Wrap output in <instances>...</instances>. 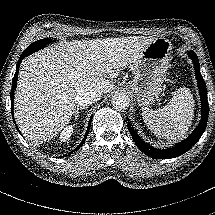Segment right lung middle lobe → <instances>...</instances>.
<instances>
[{
  "label": "right lung middle lobe",
  "mask_w": 215,
  "mask_h": 215,
  "mask_svg": "<svg viewBox=\"0 0 215 215\" xmlns=\"http://www.w3.org/2000/svg\"><path fill=\"white\" fill-rule=\"evenodd\" d=\"M51 40L48 38L38 40L36 42H33L29 47L26 48L24 51L27 55H30L42 48H44L47 44H50Z\"/></svg>",
  "instance_id": "right-lung-middle-lobe-1"
}]
</instances>
